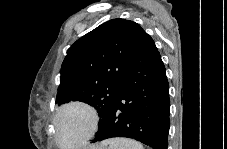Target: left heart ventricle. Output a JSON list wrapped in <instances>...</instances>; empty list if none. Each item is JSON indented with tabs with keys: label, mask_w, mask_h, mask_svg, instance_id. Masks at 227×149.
<instances>
[{
	"label": "left heart ventricle",
	"mask_w": 227,
	"mask_h": 149,
	"mask_svg": "<svg viewBox=\"0 0 227 149\" xmlns=\"http://www.w3.org/2000/svg\"><path fill=\"white\" fill-rule=\"evenodd\" d=\"M90 119L86 111L71 109L65 112L59 122V139L63 144L77 142L89 129Z\"/></svg>",
	"instance_id": "obj_1"
}]
</instances>
